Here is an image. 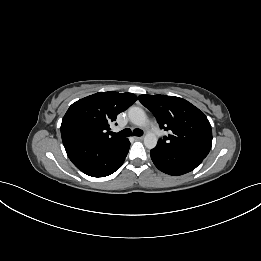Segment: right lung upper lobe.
I'll list each match as a JSON object with an SVG mask.
<instances>
[{"label": "right lung upper lobe", "mask_w": 261, "mask_h": 261, "mask_svg": "<svg viewBox=\"0 0 261 261\" xmlns=\"http://www.w3.org/2000/svg\"><path fill=\"white\" fill-rule=\"evenodd\" d=\"M137 100L132 93L98 92L74 102L63 117L64 146L76 143H114L124 138L109 136V126L119 113Z\"/></svg>", "instance_id": "obj_1"}]
</instances>
